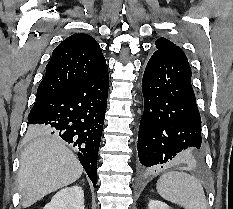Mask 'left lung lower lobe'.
<instances>
[{"label": "left lung lower lobe", "instance_id": "obj_1", "mask_svg": "<svg viewBox=\"0 0 233 209\" xmlns=\"http://www.w3.org/2000/svg\"><path fill=\"white\" fill-rule=\"evenodd\" d=\"M142 89L144 113L138 135L142 167L198 165L202 159L201 118L188 62L154 53L145 68Z\"/></svg>", "mask_w": 233, "mask_h": 209}]
</instances>
